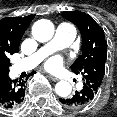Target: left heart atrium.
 Listing matches in <instances>:
<instances>
[{
    "label": "left heart atrium",
    "mask_w": 117,
    "mask_h": 117,
    "mask_svg": "<svg viewBox=\"0 0 117 117\" xmlns=\"http://www.w3.org/2000/svg\"><path fill=\"white\" fill-rule=\"evenodd\" d=\"M62 64L63 59L60 56H52L46 61L45 67L50 71H55L58 70Z\"/></svg>",
    "instance_id": "1"
}]
</instances>
